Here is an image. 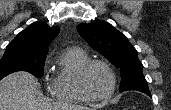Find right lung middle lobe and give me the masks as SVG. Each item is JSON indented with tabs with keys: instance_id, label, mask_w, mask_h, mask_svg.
I'll return each instance as SVG.
<instances>
[{
	"instance_id": "1",
	"label": "right lung middle lobe",
	"mask_w": 171,
	"mask_h": 110,
	"mask_svg": "<svg viewBox=\"0 0 171 110\" xmlns=\"http://www.w3.org/2000/svg\"><path fill=\"white\" fill-rule=\"evenodd\" d=\"M47 55H33L16 48H6L0 60V80L16 71H28L36 77H42Z\"/></svg>"
}]
</instances>
